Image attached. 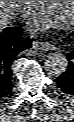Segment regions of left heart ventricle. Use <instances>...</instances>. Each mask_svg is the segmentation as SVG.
Listing matches in <instances>:
<instances>
[{"label":"left heart ventricle","mask_w":74,"mask_h":122,"mask_svg":"<svg viewBox=\"0 0 74 122\" xmlns=\"http://www.w3.org/2000/svg\"><path fill=\"white\" fill-rule=\"evenodd\" d=\"M74 1H51L50 10L55 16L67 18L72 11Z\"/></svg>","instance_id":"b2bd125f"}]
</instances>
